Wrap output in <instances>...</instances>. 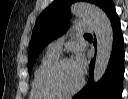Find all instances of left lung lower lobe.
<instances>
[{
    "instance_id": "obj_1",
    "label": "left lung lower lobe",
    "mask_w": 128,
    "mask_h": 99,
    "mask_svg": "<svg viewBox=\"0 0 128 99\" xmlns=\"http://www.w3.org/2000/svg\"><path fill=\"white\" fill-rule=\"evenodd\" d=\"M102 10L108 15L113 27V48L107 70L98 83L93 82L95 58L90 62V78L87 85L73 99H121L124 75V48L120 19L112 0H104Z\"/></svg>"
}]
</instances>
